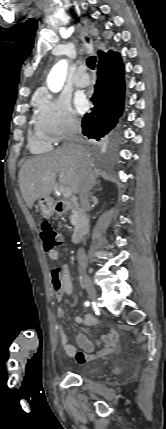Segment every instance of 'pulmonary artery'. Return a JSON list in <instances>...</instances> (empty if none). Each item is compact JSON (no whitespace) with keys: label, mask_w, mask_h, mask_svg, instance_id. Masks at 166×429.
<instances>
[{"label":"pulmonary artery","mask_w":166,"mask_h":429,"mask_svg":"<svg viewBox=\"0 0 166 429\" xmlns=\"http://www.w3.org/2000/svg\"><path fill=\"white\" fill-rule=\"evenodd\" d=\"M85 71H86L85 66H80L77 69L76 75L73 79V82L77 87L84 88L89 85V78Z\"/></svg>","instance_id":"1"}]
</instances>
